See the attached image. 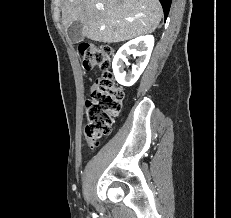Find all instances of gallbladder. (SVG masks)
<instances>
[{"label": "gallbladder", "instance_id": "gallbladder-1", "mask_svg": "<svg viewBox=\"0 0 231 218\" xmlns=\"http://www.w3.org/2000/svg\"><path fill=\"white\" fill-rule=\"evenodd\" d=\"M83 23L80 21L74 22L68 29L67 33L71 43L76 44L81 42L84 37L82 35Z\"/></svg>", "mask_w": 231, "mask_h": 218}]
</instances>
